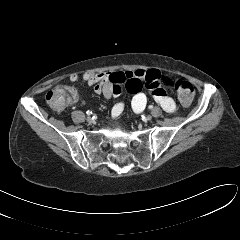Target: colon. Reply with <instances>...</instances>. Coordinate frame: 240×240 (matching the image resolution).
Masks as SVG:
<instances>
[{
  "label": "colon",
  "instance_id": "colon-1",
  "mask_svg": "<svg viewBox=\"0 0 240 240\" xmlns=\"http://www.w3.org/2000/svg\"><path fill=\"white\" fill-rule=\"evenodd\" d=\"M170 84L175 89L179 100L184 105H189L194 97V87L190 82L177 80L170 81ZM71 98V90L67 86H58L46 94V101L49 106L57 112L66 108Z\"/></svg>",
  "mask_w": 240,
  "mask_h": 240
}]
</instances>
